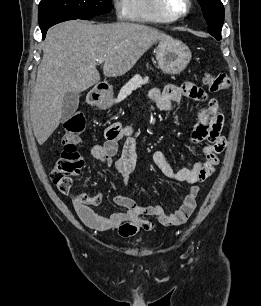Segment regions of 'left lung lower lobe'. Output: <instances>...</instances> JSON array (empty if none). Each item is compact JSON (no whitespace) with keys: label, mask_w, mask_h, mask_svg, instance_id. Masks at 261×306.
I'll use <instances>...</instances> for the list:
<instances>
[{"label":"left lung lower lobe","mask_w":261,"mask_h":306,"mask_svg":"<svg viewBox=\"0 0 261 306\" xmlns=\"http://www.w3.org/2000/svg\"><path fill=\"white\" fill-rule=\"evenodd\" d=\"M217 40H220L221 39V36H216L215 37Z\"/></svg>","instance_id":"obj_1"}]
</instances>
